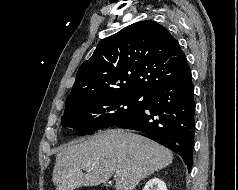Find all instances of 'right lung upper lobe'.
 <instances>
[{"mask_svg": "<svg viewBox=\"0 0 238 190\" xmlns=\"http://www.w3.org/2000/svg\"><path fill=\"white\" fill-rule=\"evenodd\" d=\"M186 67L185 54L165 27L136 22L100 42L80 66L66 108L82 95L148 96Z\"/></svg>", "mask_w": 238, "mask_h": 190, "instance_id": "cb5924a9", "label": "right lung upper lobe"}]
</instances>
